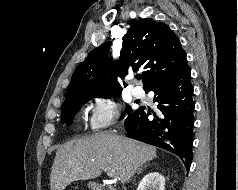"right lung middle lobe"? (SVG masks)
Masks as SVG:
<instances>
[{"label":"right lung middle lobe","mask_w":238,"mask_h":190,"mask_svg":"<svg viewBox=\"0 0 238 190\" xmlns=\"http://www.w3.org/2000/svg\"><path fill=\"white\" fill-rule=\"evenodd\" d=\"M114 95L99 96L94 94H81V95L72 96L66 99L62 106V112H61L62 123H66L67 125H70L72 123L74 115L78 112L80 107L92 97L110 98ZM133 111L134 110H132L130 106L127 105L126 112H124L123 114L128 113L129 115Z\"/></svg>","instance_id":"1"}]
</instances>
